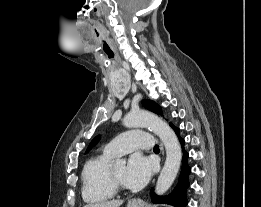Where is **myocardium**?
<instances>
[{
	"label": "myocardium",
	"mask_w": 261,
	"mask_h": 207,
	"mask_svg": "<svg viewBox=\"0 0 261 207\" xmlns=\"http://www.w3.org/2000/svg\"><path fill=\"white\" fill-rule=\"evenodd\" d=\"M108 180L111 188L114 190V192H121L125 191L126 188L122 184L119 183V181L116 179L113 168L110 167L108 171Z\"/></svg>",
	"instance_id": "f54148a6"
}]
</instances>
